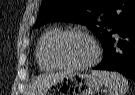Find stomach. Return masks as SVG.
<instances>
[{
    "mask_svg": "<svg viewBox=\"0 0 135 95\" xmlns=\"http://www.w3.org/2000/svg\"><path fill=\"white\" fill-rule=\"evenodd\" d=\"M102 84L98 76L74 72L52 83L40 95H94Z\"/></svg>",
    "mask_w": 135,
    "mask_h": 95,
    "instance_id": "0dacf381",
    "label": "stomach"
}]
</instances>
